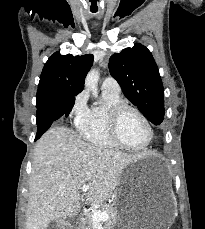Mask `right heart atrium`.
I'll return each instance as SVG.
<instances>
[{"label":"right heart atrium","instance_id":"right-heart-atrium-1","mask_svg":"<svg viewBox=\"0 0 205 229\" xmlns=\"http://www.w3.org/2000/svg\"><path fill=\"white\" fill-rule=\"evenodd\" d=\"M88 112L89 107L87 104V94L82 91L74 97L69 116L73 120L74 124L78 126L86 119Z\"/></svg>","mask_w":205,"mask_h":229}]
</instances>
